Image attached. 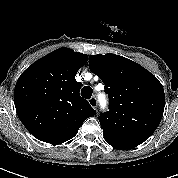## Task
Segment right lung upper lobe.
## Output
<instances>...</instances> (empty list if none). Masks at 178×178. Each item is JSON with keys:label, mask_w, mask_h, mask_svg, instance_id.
Here are the masks:
<instances>
[{"label": "right lung upper lobe", "mask_w": 178, "mask_h": 178, "mask_svg": "<svg viewBox=\"0 0 178 178\" xmlns=\"http://www.w3.org/2000/svg\"><path fill=\"white\" fill-rule=\"evenodd\" d=\"M88 56L57 49L29 66L14 90L16 112L37 139L60 144L73 138L83 121L96 111L79 95L77 71Z\"/></svg>", "instance_id": "cb5924a9"}]
</instances>
